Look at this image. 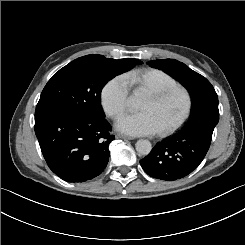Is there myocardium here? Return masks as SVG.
I'll use <instances>...</instances> for the list:
<instances>
[{"instance_id":"myocardium-1","label":"myocardium","mask_w":245,"mask_h":245,"mask_svg":"<svg viewBox=\"0 0 245 245\" xmlns=\"http://www.w3.org/2000/svg\"><path fill=\"white\" fill-rule=\"evenodd\" d=\"M181 94L184 99V109L181 115L169 125L161 129V134L169 135L181 127L186 120L189 118L192 109V98L189 90L184 86L177 85L167 88L161 87H149L144 91V95L151 96L154 98L156 103H162L170 97Z\"/></svg>"}]
</instances>
